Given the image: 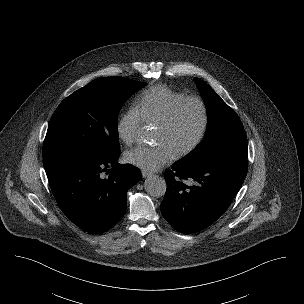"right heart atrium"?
Listing matches in <instances>:
<instances>
[{"label": "right heart atrium", "mask_w": 304, "mask_h": 304, "mask_svg": "<svg viewBox=\"0 0 304 304\" xmlns=\"http://www.w3.org/2000/svg\"><path fill=\"white\" fill-rule=\"evenodd\" d=\"M142 123V117L135 107L127 109L117 122L116 128L120 140L126 145L132 144Z\"/></svg>", "instance_id": "right-heart-atrium-1"}]
</instances>
